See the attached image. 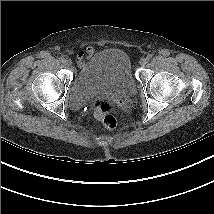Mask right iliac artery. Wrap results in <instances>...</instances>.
Masks as SVG:
<instances>
[{"label": "right iliac artery", "instance_id": "right-iliac-artery-1", "mask_svg": "<svg viewBox=\"0 0 214 214\" xmlns=\"http://www.w3.org/2000/svg\"><path fill=\"white\" fill-rule=\"evenodd\" d=\"M59 61H60V62H64V61H65V58H64V57H60V58H59Z\"/></svg>", "mask_w": 214, "mask_h": 214}]
</instances>
